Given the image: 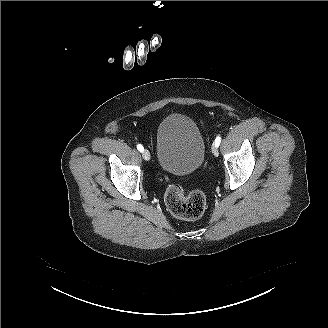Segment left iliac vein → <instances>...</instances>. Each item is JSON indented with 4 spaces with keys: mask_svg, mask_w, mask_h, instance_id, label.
Returning a JSON list of instances; mask_svg holds the SVG:
<instances>
[{
    "mask_svg": "<svg viewBox=\"0 0 328 328\" xmlns=\"http://www.w3.org/2000/svg\"><path fill=\"white\" fill-rule=\"evenodd\" d=\"M212 153L215 155V156H218V147L216 145H213L212 148Z\"/></svg>",
    "mask_w": 328,
    "mask_h": 328,
    "instance_id": "left-iliac-vein-1",
    "label": "left iliac vein"
}]
</instances>
